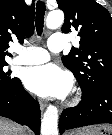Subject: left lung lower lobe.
<instances>
[{"instance_id":"1","label":"left lung lower lobe","mask_w":112,"mask_h":135,"mask_svg":"<svg viewBox=\"0 0 112 135\" xmlns=\"http://www.w3.org/2000/svg\"><path fill=\"white\" fill-rule=\"evenodd\" d=\"M112 124V81L99 83L89 92L82 93L78 106L65 109L60 117L59 130L62 134L72 129L92 124Z\"/></svg>"}]
</instances>
